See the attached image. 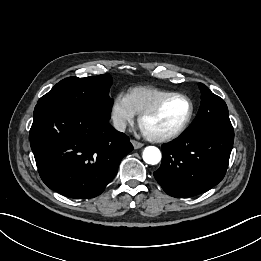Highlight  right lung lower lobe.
Listing matches in <instances>:
<instances>
[{"label":"right lung lower lobe","instance_id":"1","mask_svg":"<svg viewBox=\"0 0 261 261\" xmlns=\"http://www.w3.org/2000/svg\"><path fill=\"white\" fill-rule=\"evenodd\" d=\"M30 145L43 182L70 198L100 195L133 150L128 136L87 110L36 105Z\"/></svg>","mask_w":261,"mask_h":261}]
</instances>
